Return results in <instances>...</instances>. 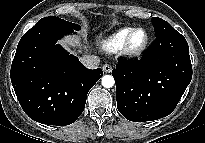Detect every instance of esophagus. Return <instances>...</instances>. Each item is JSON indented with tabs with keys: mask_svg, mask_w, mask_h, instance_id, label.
I'll use <instances>...</instances> for the list:
<instances>
[{
	"mask_svg": "<svg viewBox=\"0 0 205 143\" xmlns=\"http://www.w3.org/2000/svg\"><path fill=\"white\" fill-rule=\"evenodd\" d=\"M102 69L105 73H110L112 71V67L109 64L103 65Z\"/></svg>",
	"mask_w": 205,
	"mask_h": 143,
	"instance_id": "1",
	"label": "esophagus"
}]
</instances>
